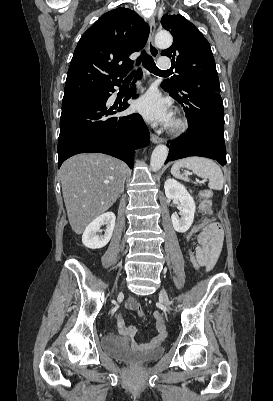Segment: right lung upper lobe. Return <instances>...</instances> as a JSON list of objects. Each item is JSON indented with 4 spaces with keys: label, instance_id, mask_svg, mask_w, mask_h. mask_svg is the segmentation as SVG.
<instances>
[{
    "label": "right lung upper lobe",
    "instance_id": "1",
    "mask_svg": "<svg viewBox=\"0 0 273 401\" xmlns=\"http://www.w3.org/2000/svg\"><path fill=\"white\" fill-rule=\"evenodd\" d=\"M148 35V25L130 9L103 14L77 44L64 97L98 92L121 82L133 63L129 56L146 44Z\"/></svg>",
    "mask_w": 273,
    "mask_h": 401
}]
</instances>
